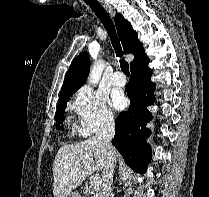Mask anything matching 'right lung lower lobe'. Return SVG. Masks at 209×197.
Wrapping results in <instances>:
<instances>
[{"label":"right lung lower lobe","mask_w":209,"mask_h":197,"mask_svg":"<svg viewBox=\"0 0 209 197\" xmlns=\"http://www.w3.org/2000/svg\"><path fill=\"white\" fill-rule=\"evenodd\" d=\"M148 63L149 59L145 58L131 67V79L127 85L130 107L116 118L112 140L126 164L137 173H145L151 160V149L146 143L150 130L145 124L152 118L146 106L154 101L155 85L150 81L152 72Z\"/></svg>","instance_id":"1"}]
</instances>
